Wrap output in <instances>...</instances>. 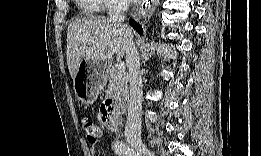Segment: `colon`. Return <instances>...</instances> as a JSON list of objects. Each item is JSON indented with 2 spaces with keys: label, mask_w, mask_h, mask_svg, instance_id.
<instances>
[{
  "label": "colon",
  "mask_w": 261,
  "mask_h": 156,
  "mask_svg": "<svg viewBox=\"0 0 261 156\" xmlns=\"http://www.w3.org/2000/svg\"><path fill=\"white\" fill-rule=\"evenodd\" d=\"M102 122L103 124L110 128L114 129V110L113 107L105 103L102 106ZM81 127L86 135L87 141L90 144H96L101 136L100 127L88 116H84L81 119Z\"/></svg>",
  "instance_id": "1"
}]
</instances>
